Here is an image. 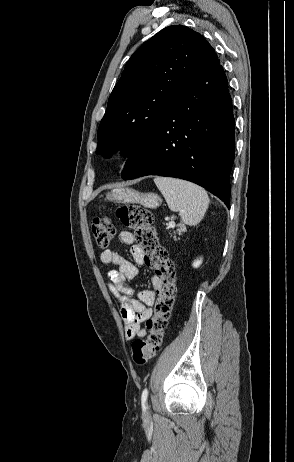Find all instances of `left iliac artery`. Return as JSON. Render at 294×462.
<instances>
[{"label":"left iliac artery","instance_id":"44dca946","mask_svg":"<svg viewBox=\"0 0 294 462\" xmlns=\"http://www.w3.org/2000/svg\"><path fill=\"white\" fill-rule=\"evenodd\" d=\"M147 397H148V390H147V388H145L143 390L142 396H141V403H142V407H143L144 410L146 409Z\"/></svg>","mask_w":294,"mask_h":462}]
</instances>
